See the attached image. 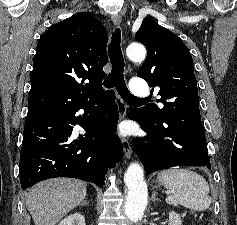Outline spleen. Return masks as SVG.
<instances>
[{"instance_id": "3e777b00", "label": "spleen", "mask_w": 237, "mask_h": 225, "mask_svg": "<svg viewBox=\"0 0 237 225\" xmlns=\"http://www.w3.org/2000/svg\"><path fill=\"white\" fill-rule=\"evenodd\" d=\"M158 179L173 191L166 198L168 204L199 212L210 207L209 185L199 174L184 168H171L160 172Z\"/></svg>"}]
</instances>
